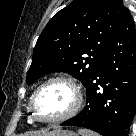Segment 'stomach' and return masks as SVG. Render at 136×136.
I'll use <instances>...</instances> for the list:
<instances>
[{"label": "stomach", "mask_w": 136, "mask_h": 136, "mask_svg": "<svg viewBox=\"0 0 136 136\" xmlns=\"http://www.w3.org/2000/svg\"><path fill=\"white\" fill-rule=\"evenodd\" d=\"M48 136H77L74 132L68 130H53Z\"/></svg>", "instance_id": "1"}]
</instances>
